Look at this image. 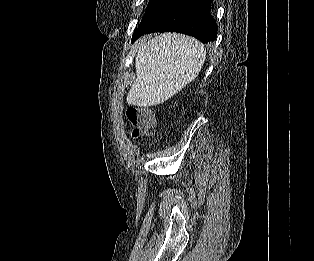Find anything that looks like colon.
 <instances>
[{"mask_svg":"<svg viewBox=\"0 0 314 261\" xmlns=\"http://www.w3.org/2000/svg\"><path fill=\"white\" fill-rule=\"evenodd\" d=\"M128 121L133 126L132 137L137 139L141 136H147L155 125V115L147 107L132 106L126 110Z\"/></svg>","mask_w":314,"mask_h":261,"instance_id":"colon-1","label":"colon"}]
</instances>
